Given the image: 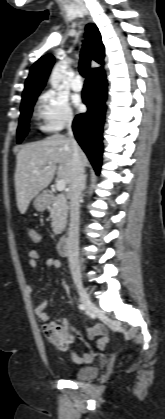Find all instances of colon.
<instances>
[{"mask_svg": "<svg viewBox=\"0 0 165 419\" xmlns=\"http://www.w3.org/2000/svg\"><path fill=\"white\" fill-rule=\"evenodd\" d=\"M28 236L32 242H38L39 236L34 229L28 230ZM44 333L58 342L66 341L70 335L67 328L62 327L57 323L47 324L43 328Z\"/></svg>", "mask_w": 165, "mask_h": 419, "instance_id": "colon-1", "label": "colon"}]
</instances>
